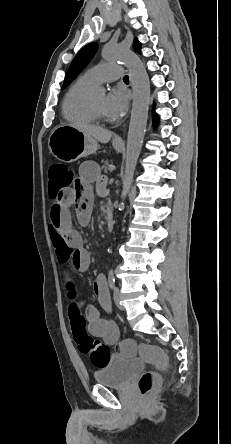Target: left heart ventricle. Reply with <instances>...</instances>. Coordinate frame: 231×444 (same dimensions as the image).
Here are the masks:
<instances>
[{
  "label": "left heart ventricle",
  "mask_w": 231,
  "mask_h": 444,
  "mask_svg": "<svg viewBox=\"0 0 231 444\" xmlns=\"http://www.w3.org/2000/svg\"><path fill=\"white\" fill-rule=\"evenodd\" d=\"M105 99H106V97L104 94H99V95H95L92 97L94 105H95L96 109L99 111V113L101 115H103L104 117L108 118L109 116L105 110Z\"/></svg>",
  "instance_id": "obj_1"
}]
</instances>
